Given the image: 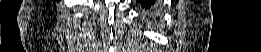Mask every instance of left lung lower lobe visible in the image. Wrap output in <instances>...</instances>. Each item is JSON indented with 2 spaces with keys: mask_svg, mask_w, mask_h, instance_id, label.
<instances>
[{
  "mask_svg": "<svg viewBox=\"0 0 261 52\" xmlns=\"http://www.w3.org/2000/svg\"><path fill=\"white\" fill-rule=\"evenodd\" d=\"M141 4V7L143 10H147L149 12H151L153 9H155V0H141L138 1Z\"/></svg>",
  "mask_w": 261,
  "mask_h": 52,
  "instance_id": "1",
  "label": "left lung lower lobe"
}]
</instances>
